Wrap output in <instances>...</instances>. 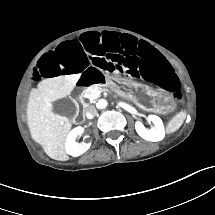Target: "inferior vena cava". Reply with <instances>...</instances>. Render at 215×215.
Here are the masks:
<instances>
[{"mask_svg": "<svg viewBox=\"0 0 215 215\" xmlns=\"http://www.w3.org/2000/svg\"><path fill=\"white\" fill-rule=\"evenodd\" d=\"M84 114L88 119H92L97 115V109L94 105H89L84 109Z\"/></svg>", "mask_w": 215, "mask_h": 215, "instance_id": "602c4592", "label": "inferior vena cava"}]
</instances>
